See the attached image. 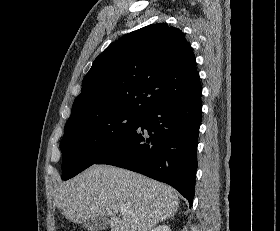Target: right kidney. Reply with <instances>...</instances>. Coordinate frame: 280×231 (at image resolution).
Here are the masks:
<instances>
[{
	"label": "right kidney",
	"instance_id": "1",
	"mask_svg": "<svg viewBox=\"0 0 280 231\" xmlns=\"http://www.w3.org/2000/svg\"><path fill=\"white\" fill-rule=\"evenodd\" d=\"M151 231H171V229L168 225H157V227H153Z\"/></svg>",
	"mask_w": 280,
	"mask_h": 231
}]
</instances>
